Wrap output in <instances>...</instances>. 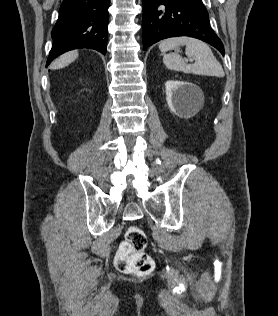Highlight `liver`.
<instances>
[{
	"instance_id": "obj_1",
	"label": "liver",
	"mask_w": 278,
	"mask_h": 316,
	"mask_svg": "<svg viewBox=\"0 0 278 316\" xmlns=\"http://www.w3.org/2000/svg\"><path fill=\"white\" fill-rule=\"evenodd\" d=\"M78 57L77 51H70L61 55L52 65L51 69H61L71 64Z\"/></svg>"
}]
</instances>
